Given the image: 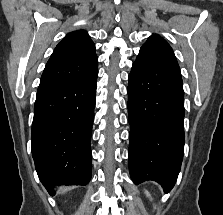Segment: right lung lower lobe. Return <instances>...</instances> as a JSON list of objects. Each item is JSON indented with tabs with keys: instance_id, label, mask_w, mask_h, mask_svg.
Returning <instances> with one entry per match:
<instances>
[{
	"instance_id": "1",
	"label": "right lung lower lobe",
	"mask_w": 223,
	"mask_h": 215,
	"mask_svg": "<svg viewBox=\"0 0 223 215\" xmlns=\"http://www.w3.org/2000/svg\"><path fill=\"white\" fill-rule=\"evenodd\" d=\"M98 71L38 91L32 124V156L51 195L55 184L87 185L91 179V130Z\"/></svg>"
}]
</instances>
